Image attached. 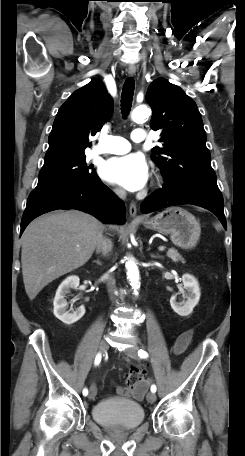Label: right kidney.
<instances>
[{"label": "right kidney", "mask_w": 245, "mask_h": 456, "mask_svg": "<svg viewBox=\"0 0 245 456\" xmlns=\"http://www.w3.org/2000/svg\"><path fill=\"white\" fill-rule=\"evenodd\" d=\"M79 277L72 275L67 277L58 287L54 297V315L66 325H71L77 322L85 314L84 306H80L76 311L69 313L67 311L66 295L71 289H76L79 286Z\"/></svg>", "instance_id": "obj_1"}]
</instances>
